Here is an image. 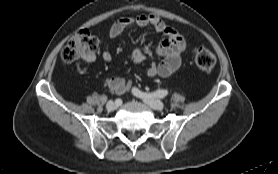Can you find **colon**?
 <instances>
[{
  "label": "colon",
  "mask_w": 278,
  "mask_h": 174,
  "mask_svg": "<svg viewBox=\"0 0 278 174\" xmlns=\"http://www.w3.org/2000/svg\"><path fill=\"white\" fill-rule=\"evenodd\" d=\"M97 48V38L89 31L81 30L66 43L61 51V57L65 62L87 59L95 54ZM194 61L200 70L209 71L215 66L216 57L212 51L200 46L194 50Z\"/></svg>",
  "instance_id": "colon-1"
}]
</instances>
